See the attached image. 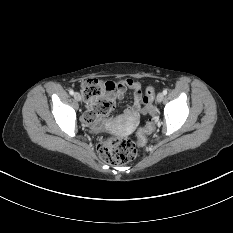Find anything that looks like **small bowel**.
<instances>
[{
	"label": "small bowel",
	"instance_id": "small-bowel-1",
	"mask_svg": "<svg viewBox=\"0 0 233 233\" xmlns=\"http://www.w3.org/2000/svg\"><path fill=\"white\" fill-rule=\"evenodd\" d=\"M115 90L113 93L114 100H121L128 89L132 91V103L125 109V116L134 121L136 118L146 111V103L144 100L142 85L134 79H126L114 83ZM98 100H87L85 120L92 125L93 128L99 129L108 122L106 115H101L97 112L99 106Z\"/></svg>",
	"mask_w": 233,
	"mask_h": 233
}]
</instances>
